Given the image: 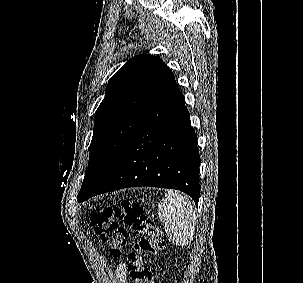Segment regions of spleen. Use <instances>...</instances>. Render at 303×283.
<instances>
[{"instance_id":"3e777b00","label":"spleen","mask_w":303,"mask_h":283,"mask_svg":"<svg viewBox=\"0 0 303 283\" xmlns=\"http://www.w3.org/2000/svg\"><path fill=\"white\" fill-rule=\"evenodd\" d=\"M160 222L169 239L177 246L187 245L193 238L196 214L189 199L173 190L158 205Z\"/></svg>"}]
</instances>
